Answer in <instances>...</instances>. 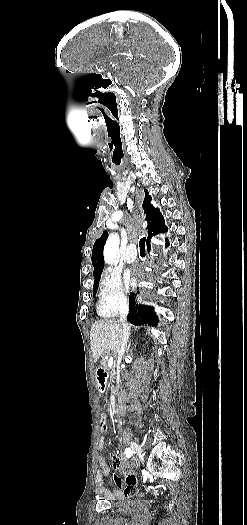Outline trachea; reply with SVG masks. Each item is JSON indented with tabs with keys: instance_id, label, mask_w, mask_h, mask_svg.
<instances>
[{
	"instance_id": "3493384b",
	"label": "trachea",
	"mask_w": 247,
	"mask_h": 525,
	"mask_svg": "<svg viewBox=\"0 0 247 525\" xmlns=\"http://www.w3.org/2000/svg\"><path fill=\"white\" fill-rule=\"evenodd\" d=\"M145 242H146V238L145 237L141 238L140 241H139L140 253L146 251L145 250Z\"/></svg>"
}]
</instances>
